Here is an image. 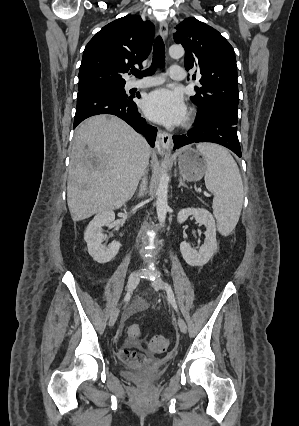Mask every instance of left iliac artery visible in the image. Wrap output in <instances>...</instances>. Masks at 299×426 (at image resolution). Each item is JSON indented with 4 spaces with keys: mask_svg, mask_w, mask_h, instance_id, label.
Instances as JSON below:
<instances>
[{
    "mask_svg": "<svg viewBox=\"0 0 299 426\" xmlns=\"http://www.w3.org/2000/svg\"><path fill=\"white\" fill-rule=\"evenodd\" d=\"M165 288H166V291H167L169 301L171 302L173 308L178 312V307H177V304H176V300H175L172 288L170 287V285L168 283H165Z\"/></svg>",
    "mask_w": 299,
    "mask_h": 426,
    "instance_id": "obj_1",
    "label": "left iliac artery"
}]
</instances>
